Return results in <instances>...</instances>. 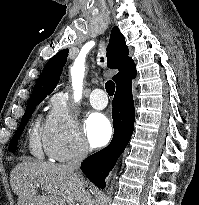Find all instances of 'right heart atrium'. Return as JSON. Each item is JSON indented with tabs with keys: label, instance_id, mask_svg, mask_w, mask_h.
Instances as JSON below:
<instances>
[{
	"label": "right heart atrium",
	"instance_id": "right-heart-atrium-1",
	"mask_svg": "<svg viewBox=\"0 0 199 205\" xmlns=\"http://www.w3.org/2000/svg\"><path fill=\"white\" fill-rule=\"evenodd\" d=\"M47 155L59 162L83 158L90 147L81 133L66 101L60 97L51 100V110L43 128Z\"/></svg>",
	"mask_w": 199,
	"mask_h": 205
}]
</instances>
